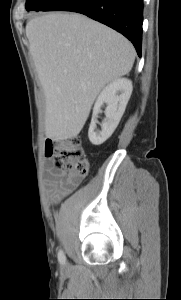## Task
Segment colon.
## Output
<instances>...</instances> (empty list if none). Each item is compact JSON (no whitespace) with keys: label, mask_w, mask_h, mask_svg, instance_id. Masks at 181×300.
Segmentation results:
<instances>
[{"label":"colon","mask_w":181,"mask_h":300,"mask_svg":"<svg viewBox=\"0 0 181 300\" xmlns=\"http://www.w3.org/2000/svg\"><path fill=\"white\" fill-rule=\"evenodd\" d=\"M46 154L54 157L57 166L73 178H83L88 172V160L81 142L77 139L49 141L46 145Z\"/></svg>","instance_id":"5ec220e1"}]
</instances>
